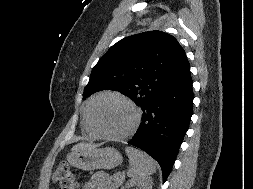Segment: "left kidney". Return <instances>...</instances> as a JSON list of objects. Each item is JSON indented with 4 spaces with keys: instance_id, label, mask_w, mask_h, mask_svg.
I'll list each match as a JSON object with an SVG mask.
<instances>
[{
    "instance_id": "left-kidney-1",
    "label": "left kidney",
    "mask_w": 253,
    "mask_h": 189,
    "mask_svg": "<svg viewBox=\"0 0 253 189\" xmlns=\"http://www.w3.org/2000/svg\"><path fill=\"white\" fill-rule=\"evenodd\" d=\"M132 187H134L133 189H152V180L151 178L132 179L122 189H130Z\"/></svg>"
}]
</instances>
